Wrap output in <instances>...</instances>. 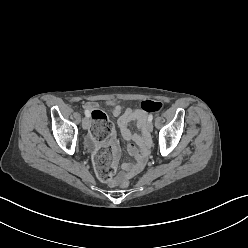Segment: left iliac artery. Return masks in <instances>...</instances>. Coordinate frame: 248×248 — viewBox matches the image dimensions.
Here are the masks:
<instances>
[{"mask_svg":"<svg viewBox=\"0 0 248 248\" xmlns=\"http://www.w3.org/2000/svg\"><path fill=\"white\" fill-rule=\"evenodd\" d=\"M152 119H153V115H152V114H150V115H149V117H148V121H149V122H151V121H152Z\"/></svg>","mask_w":248,"mask_h":248,"instance_id":"1","label":"left iliac artery"}]
</instances>
